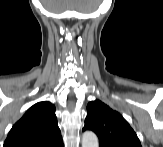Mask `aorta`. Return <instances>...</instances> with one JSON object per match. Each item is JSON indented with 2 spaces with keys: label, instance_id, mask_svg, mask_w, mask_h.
<instances>
[{
  "label": "aorta",
  "instance_id": "obj_1",
  "mask_svg": "<svg viewBox=\"0 0 163 147\" xmlns=\"http://www.w3.org/2000/svg\"><path fill=\"white\" fill-rule=\"evenodd\" d=\"M99 142L97 136L91 132L86 131L82 135V147H98Z\"/></svg>",
  "mask_w": 163,
  "mask_h": 147
}]
</instances>
